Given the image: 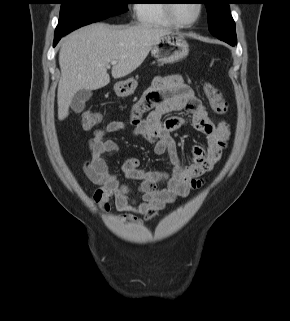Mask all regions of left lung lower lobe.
Masks as SVG:
<instances>
[{"mask_svg": "<svg viewBox=\"0 0 290 321\" xmlns=\"http://www.w3.org/2000/svg\"><path fill=\"white\" fill-rule=\"evenodd\" d=\"M218 39L228 43L231 46H234L237 44L236 34L235 35H226V36H220L217 37Z\"/></svg>", "mask_w": 290, "mask_h": 321, "instance_id": "0a47b994", "label": "left lung lower lobe"}]
</instances>
